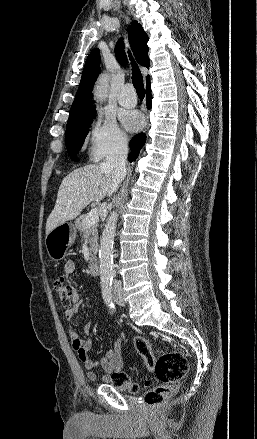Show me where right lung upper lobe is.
I'll use <instances>...</instances> for the list:
<instances>
[{
    "instance_id": "right-lung-upper-lobe-1",
    "label": "right lung upper lobe",
    "mask_w": 257,
    "mask_h": 439,
    "mask_svg": "<svg viewBox=\"0 0 257 439\" xmlns=\"http://www.w3.org/2000/svg\"><path fill=\"white\" fill-rule=\"evenodd\" d=\"M128 36L132 51L140 65L149 67L148 59V36L142 26L133 21L128 29ZM115 54L118 62L122 65L127 64L126 54L123 48V40L120 39L115 47ZM100 72V53L99 49H94L88 55L78 91L75 96L74 103L71 106L69 119L85 116L95 113V107L92 104V89L96 78ZM149 79V75L146 80ZM68 119V120H69Z\"/></svg>"
}]
</instances>
